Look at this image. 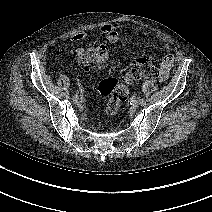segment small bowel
Masks as SVG:
<instances>
[{
	"label": "small bowel",
	"instance_id": "1",
	"mask_svg": "<svg viewBox=\"0 0 212 212\" xmlns=\"http://www.w3.org/2000/svg\"><path fill=\"white\" fill-rule=\"evenodd\" d=\"M122 28V24L121 23H108V24H103L99 27V32L102 33L103 35H105L106 39L111 42L114 43L116 41H118L119 39V31ZM87 34L86 33H76L71 37V40L75 43L81 42L86 38ZM162 47L164 50H166L168 53L163 57V59L161 60V64H160V77L159 79L164 81L167 79L168 75H169V71L173 65V61H174V57L171 53H169L170 51V46L168 43L164 42L162 44ZM83 53V48H75L72 50L68 51V54L70 55H75V56H79ZM80 87H81V91L84 92L85 91V87H86V82L85 81H81L80 82Z\"/></svg>",
	"mask_w": 212,
	"mask_h": 212
}]
</instances>
